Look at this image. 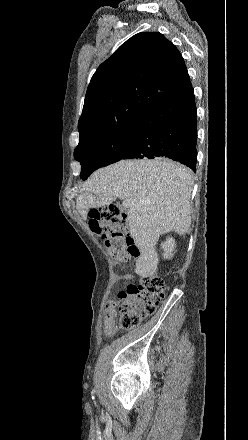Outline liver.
<instances>
[{"instance_id":"6515ba94","label":"liver","mask_w":248,"mask_h":440,"mask_svg":"<svg viewBox=\"0 0 248 440\" xmlns=\"http://www.w3.org/2000/svg\"><path fill=\"white\" fill-rule=\"evenodd\" d=\"M192 187V171L179 163L164 158L121 160L90 176L76 208L85 220L90 208L109 205L116 198L133 200L127 223L141 253L136 270L154 274L160 235L172 231L184 235L190 228Z\"/></svg>"}]
</instances>
